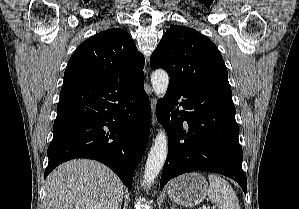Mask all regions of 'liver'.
<instances>
[{"label":"liver","mask_w":299,"mask_h":209,"mask_svg":"<svg viewBox=\"0 0 299 209\" xmlns=\"http://www.w3.org/2000/svg\"><path fill=\"white\" fill-rule=\"evenodd\" d=\"M124 185L105 165L75 159L58 166L46 179V209H118Z\"/></svg>","instance_id":"liver-1"}]
</instances>
